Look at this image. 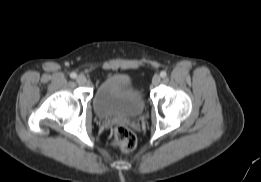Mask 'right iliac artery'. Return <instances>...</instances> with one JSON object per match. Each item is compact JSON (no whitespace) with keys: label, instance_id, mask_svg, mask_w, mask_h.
Here are the masks:
<instances>
[{"label":"right iliac artery","instance_id":"82829eb1","mask_svg":"<svg viewBox=\"0 0 261 182\" xmlns=\"http://www.w3.org/2000/svg\"><path fill=\"white\" fill-rule=\"evenodd\" d=\"M70 77L74 79V78L77 77V74H76L75 72H72V73L70 74Z\"/></svg>","mask_w":261,"mask_h":182}]
</instances>
